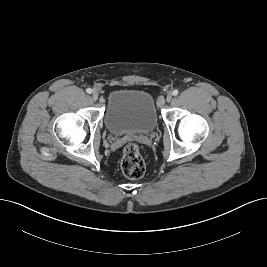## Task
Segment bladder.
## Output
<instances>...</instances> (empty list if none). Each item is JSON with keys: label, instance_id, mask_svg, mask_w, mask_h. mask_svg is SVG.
I'll use <instances>...</instances> for the list:
<instances>
[{"label": "bladder", "instance_id": "31cf9c89", "mask_svg": "<svg viewBox=\"0 0 267 267\" xmlns=\"http://www.w3.org/2000/svg\"><path fill=\"white\" fill-rule=\"evenodd\" d=\"M104 123L114 135L151 132L157 125V109L153 96L138 89L111 91L107 97Z\"/></svg>", "mask_w": 267, "mask_h": 267}]
</instances>
